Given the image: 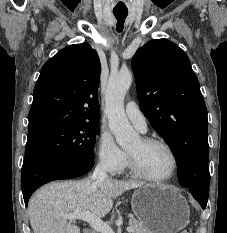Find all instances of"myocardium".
<instances>
[{
  "instance_id": "1",
  "label": "myocardium",
  "mask_w": 227,
  "mask_h": 233,
  "mask_svg": "<svg viewBox=\"0 0 227 233\" xmlns=\"http://www.w3.org/2000/svg\"><path fill=\"white\" fill-rule=\"evenodd\" d=\"M141 141L143 144L145 145H152V144H158L163 146L164 148H166L169 152V154L171 155L172 161H173V166H172V170L170 171V173L166 176H162V177H156V176H152L148 173H146L137 163L136 159L128 152V164L129 167L131 169V171L133 172V174H135L137 177L142 178L144 180L147 181H153V182H164V181H168L170 179H172L178 170V166H179V161H178V157L176 152L174 151V149L172 148V146L166 142L163 139L160 138H156V137H142Z\"/></svg>"
}]
</instances>
